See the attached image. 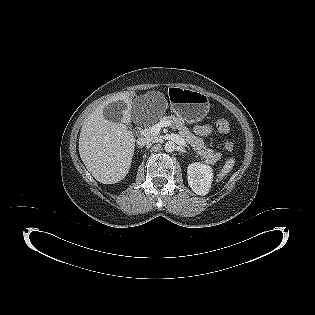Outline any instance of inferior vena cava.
Here are the masks:
<instances>
[{"instance_id":"obj_1","label":"inferior vena cava","mask_w":315,"mask_h":315,"mask_svg":"<svg viewBox=\"0 0 315 315\" xmlns=\"http://www.w3.org/2000/svg\"><path fill=\"white\" fill-rule=\"evenodd\" d=\"M152 141H153L152 137H142L137 140V144L142 147L149 145Z\"/></svg>"}]
</instances>
